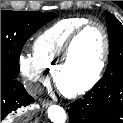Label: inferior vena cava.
<instances>
[{
    "label": "inferior vena cava",
    "instance_id": "1",
    "mask_svg": "<svg viewBox=\"0 0 123 123\" xmlns=\"http://www.w3.org/2000/svg\"><path fill=\"white\" fill-rule=\"evenodd\" d=\"M24 87L31 96H36L38 93L41 92L40 84L35 83L33 81H25Z\"/></svg>",
    "mask_w": 123,
    "mask_h": 123
}]
</instances>
